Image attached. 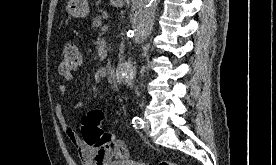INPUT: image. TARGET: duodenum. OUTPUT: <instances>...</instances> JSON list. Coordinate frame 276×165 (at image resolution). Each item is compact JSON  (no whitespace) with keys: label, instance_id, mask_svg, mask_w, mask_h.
<instances>
[{"label":"duodenum","instance_id":"1","mask_svg":"<svg viewBox=\"0 0 276 165\" xmlns=\"http://www.w3.org/2000/svg\"><path fill=\"white\" fill-rule=\"evenodd\" d=\"M105 75H106V78L109 81L113 80V78H114V68H113V65L111 63L106 64V66H105Z\"/></svg>","mask_w":276,"mask_h":165}]
</instances>
